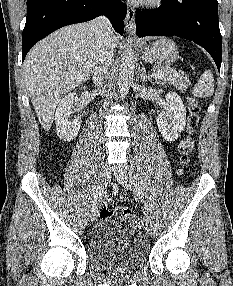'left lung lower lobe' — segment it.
Returning <instances> with one entry per match:
<instances>
[{
	"label": "left lung lower lobe",
	"instance_id": "obj_1",
	"mask_svg": "<svg viewBox=\"0 0 233 286\" xmlns=\"http://www.w3.org/2000/svg\"><path fill=\"white\" fill-rule=\"evenodd\" d=\"M136 31L144 36H178L206 49L220 71L222 37L217 0H163L159 8L136 12Z\"/></svg>",
	"mask_w": 233,
	"mask_h": 286
}]
</instances>
